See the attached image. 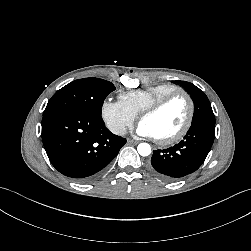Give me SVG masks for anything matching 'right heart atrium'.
<instances>
[{
    "label": "right heart atrium",
    "mask_w": 251,
    "mask_h": 251,
    "mask_svg": "<svg viewBox=\"0 0 251 251\" xmlns=\"http://www.w3.org/2000/svg\"><path fill=\"white\" fill-rule=\"evenodd\" d=\"M101 117L108 129L119 136L133 126L135 117L122 105L120 101L105 100L101 105Z\"/></svg>",
    "instance_id": "1"
}]
</instances>
